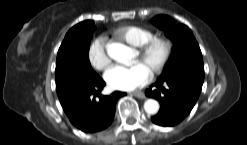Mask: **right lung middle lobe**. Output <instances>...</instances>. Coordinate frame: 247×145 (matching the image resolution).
<instances>
[{
	"label": "right lung middle lobe",
	"mask_w": 247,
	"mask_h": 145,
	"mask_svg": "<svg viewBox=\"0 0 247 145\" xmlns=\"http://www.w3.org/2000/svg\"><path fill=\"white\" fill-rule=\"evenodd\" d=\"M94 24L71 28L57 53L55 77L56 86L77 78L98 76L92 69L88 57Z\"/></svg>",
	"instance_id": "obj_1"
}]
</instances>
